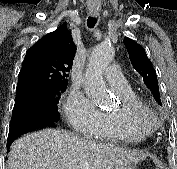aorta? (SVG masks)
Here are the masks:
<instances>
[{
  "instance_id": "762f6f07",
  "label": "aorta",
  "mask_w": 177,
  "mask_h": 169,
  "mask_svg": "<svg viewBox=\"0 0 177 169\" xmlns=\"http://www.w3.org/2000/svg\"><path fill=\"white\" fill-rule=\"evenodd\" d=\"M114 58V49L108 44H100L93 48L86 74L84 91L88 98L99 106L109 105L110 95L107 92L103 71Z\"/></svg>"
}]
</instances>
